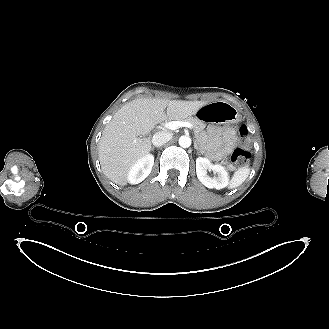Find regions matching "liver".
<instances>
[{"label": "liver", "instance_id": "6515ba94", "mask_svg": "<svg viewBox=\"0 0 329 329\" xmlns=\"http://www.w3.org/2000/svg\"><path fill=\"white\" fill-rule=\"evenodd\" d=\"M206 104L207 101L158 98H139L126 103L106 125L99 141V160L105 176L125 186L130 168L152 148L151 139L144 136L158 123L195 115Z\"/></svg>", "mask_w": 329, "mask_h": 329}]
</instances>
